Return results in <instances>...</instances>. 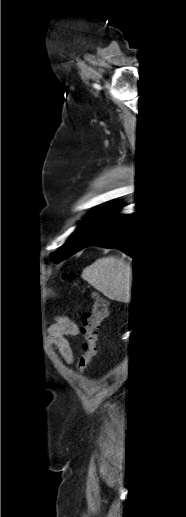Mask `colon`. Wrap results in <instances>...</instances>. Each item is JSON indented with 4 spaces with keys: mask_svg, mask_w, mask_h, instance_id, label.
<instances>
[{
    "mask_svg": "<svg viewBox=\"0 0 186 517\" xmlns=\"http://www.w3.org/2000/svg\"><path fill=\"white\" fill-rule=\"evenodd\" d=\"M69 274V278H73ZM93 304L90 310L81 315V332L84 338L82 353L77 364L79 372L85 371L96 355V345L100 324L108 315V302L97 294H93Z\"/></svg>",
    "mask_w": 186,
    "mask_h": 517,
    "instance_id": "obj_1",
    "label": "colon"
}]
</instances>
